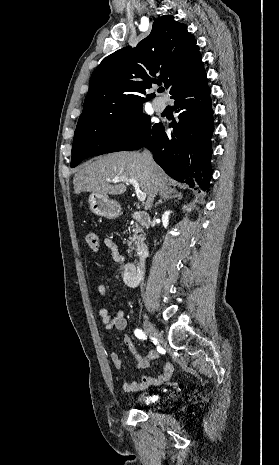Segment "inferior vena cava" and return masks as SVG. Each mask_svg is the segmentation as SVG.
<instances>
[{
  "mask_svg": "<svg viewBox=\"0 0 279 465\" xmlns=\"http://www.w3.org/2000/svg\"><path fill=\"white\" fill-rule=\"evenodd\" d=\"M142 154H143V157L146 160L147 164L150 167H152L154 165V160H153L151 152L149 150H144Z\"/></svg>",
  "mask_w": 279,
  "mask_h": 465,
  "instance_id": "1",
  "label": "inferior vena cava"
}]
</instances>
